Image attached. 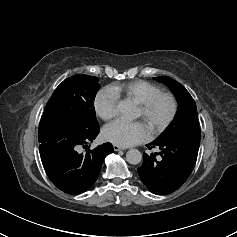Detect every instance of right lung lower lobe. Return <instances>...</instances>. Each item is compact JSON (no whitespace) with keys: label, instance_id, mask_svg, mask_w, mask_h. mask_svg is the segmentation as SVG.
Wrapping results in <instances>:
<instances>
[{"label":"right lung lower lobe","instance_id":"1","mask_svg":"<svg viewBox=\"0 0 237 237\" xmlns=\"http://www.w3.org/2000/svg\"><path fill=\"white\" fill-rule=\"evenodd\" d=\"M99 133H76L55 123H40L38 140L42 164L51 182L69 194H80L96 181L104 158L114 151L105 143L86 153H78L80 146L87 148Z\"/></svg>","mask_w":237,"mask_h":237}]
</instances>
